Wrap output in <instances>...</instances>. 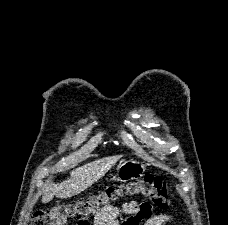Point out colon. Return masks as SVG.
Returning <instances> with one entry per match:
<instances>
[{
    "label": "colon",
    "instance_id": "5ec220e1",
    "mask_svg": "<svg viewBox=\"0 0 228 225\" xmlns=\"http://www.w3.org/2000/svg\"><path fill=\"white\" fill-rule=\"evenodd\" d=\"M132 187H112L86 201L73 205L54 206L37 209L30 225H90V217L98 212L109 201H119V196L139 195L149 197L158 208H167L170 194L166 182L159 176L145 175L141 180L131 183ZM113 208V203L107 204Z\"/></svg>",
    "mask_w": 228,
    "mask_h": 225
}]
</instances>
